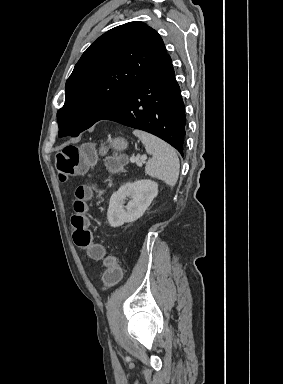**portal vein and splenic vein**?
Here are the masks:
<instances>
[{"label": "portal vein and splenic vein", "instance_id": "18ae733b", "mask_svg": "<svg viewBox=\"0 0 283 384\" xmlns=\"http://www.w3.org/2000/svg\"><path fill=\"white\" fill-rule=\"evenodd\" d=\"M144 160H147L146 154H144V156H141V158H134V156L130 158V162H132V164L136 162L137 166H140V168H142V162H144Z\"/></svg>", "mask_w": 283, "mask_h": 384}]
</instances>
